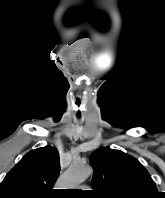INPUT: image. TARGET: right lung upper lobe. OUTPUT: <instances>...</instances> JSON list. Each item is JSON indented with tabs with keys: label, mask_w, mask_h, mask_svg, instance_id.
<instances>
[{
	"label": "right lung upper lobe",
	"mask_w": 165,
	"mask_h": 198,
	"mask_svg": "<svg viewBox=\"0 0 165 198\" xmlns=\"http://www.w3.org/2000/svg\"><path fill=\"white\" fill-rule=\"evenodd\" d=\"M59 175L56 148L45 146L27 153L0 184L1 197L46 198Z\"/></svg>",
	"instance_id": "cb5924a9"
}]
</instances>
